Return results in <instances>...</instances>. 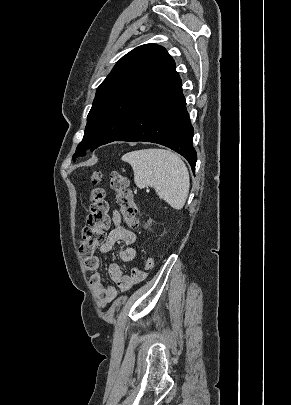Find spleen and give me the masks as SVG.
I'll return each instance as SVG.
<instances>
[{
	"label": "spleen",
	"instance_id": "1",
	"mask_svg": "<svg viewBox=\"0 0 291 405\" xmlns=\"http://www.w3.org/2000/svg\"><path fill=\"white\" fill-rule=\"evenodd\" d=\"M122 160L132 166L138 188L153 187L172 208H183L190 179L188 169L178 155L170 150L150 148L126 153Z\"/></svg>",
	"mask_w": 291,
	"mask_h": 405
}]
</instances>
